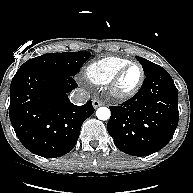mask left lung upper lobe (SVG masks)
<instances>
[{
  "instance_id": "obj_1",
  "label": "left lung upper lobe",
  "mask_w": 193,
  "mask_h": 193,
  "mask_svg": "<svg viewBox=\"0 0 193 193\" xmlns=\"http://www.w3.org/2000/svg\"><path fill=\"white\" fill-rule=\"evenodd\" d=\"M136 59L140 62V64L142 65L143 67V70H144V73H145V76L147 74H149L150 72H152L153 70H155L159 65L157 64H154L153 62L145 59V58H142V57H136Z\"/></svg>"
}]
</instances>
